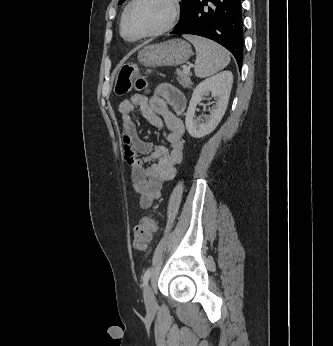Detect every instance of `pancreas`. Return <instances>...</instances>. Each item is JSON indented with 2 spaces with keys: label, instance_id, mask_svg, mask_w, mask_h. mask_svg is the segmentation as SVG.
<instances>
[{
  "label": "pancreas",
  "instance_id": "cf45deb5",
  "mask_svg": "<svg viewBox=\"0 0 333 346\" xmlns=\"http://www.w3.org/2000/svg\"><path fill=\"white\" fill-rule=\"evenodd\" d=\"M177 74V80L178 82L185 88H191L192 82H191V74L190 73H185L183 70L177 69L176 70Z\"/></svg>",
  "mask_w": 333,
  "mask_h": 346
}]
</instances>
